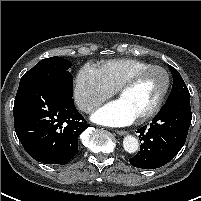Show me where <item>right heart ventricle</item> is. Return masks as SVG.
<instances>
[{
	"mask_svg": "<svg viewBox=\"0 0 201 201\" xmlns=\"http://www.w3.org/2000/svg\"><path fill=\"white\" fill-rule=\"evenodd\" d=\"M149 66L151 64L145 61L122 58L103 62L98 66V70L106 84L116 91L128 77Z\"/></svg>",
	"mask_w": 201,
	"mask_h": 201,
	"instance_id": "e07e8e85",
	"label": "right heart ventricle"
}]
</instances>
